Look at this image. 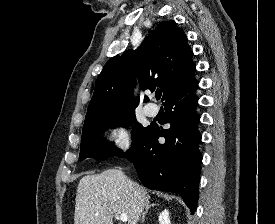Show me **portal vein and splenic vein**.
I'll return each mask as SVG.
<instances>
[{
  "mask_svg": "<svg viewBox=\"0 0 275 224\" xmlns=\"http://www.w3.org/2000/svg\"><path fill=\"white\" fill-rule=\"evenodd\" d=\"M119 219H120V221H122V222H127L128 221V216L126 215V214H121V215H119V216H117Z\"/></svg>",
  "mask_w": 275,
  "mask_h": 224,
  "instance_id": "portal-vein-and-splenic-vein-1",
  "label": "portal vein and splenic vein"
}]
</instances>
